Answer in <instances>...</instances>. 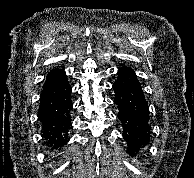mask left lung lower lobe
<instances>
[{
    "label": "left lung lower lobe",
    "mask_w": 194,
    "mask_h": 178,
    "mask_svg": "<svg viewBox=\"0 0 194 178\" xmlns=\"http://www.w3.org/2000/svg\"><path fill=\"white\" fill-rule=\"evenodd\" d=\"M114 102L119 108L118 119L123 125V137L128 144V153H139L150 137L148 104L141 84L130 67H121L113 84Z\"/></svg>",
    "instance_id": "0a47b994"
}]
</instances>
